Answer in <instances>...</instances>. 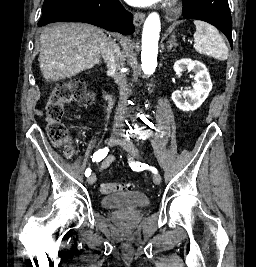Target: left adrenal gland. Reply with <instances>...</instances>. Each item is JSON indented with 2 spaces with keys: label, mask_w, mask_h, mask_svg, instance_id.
<instances>
[{
  "label": "left adrenal gland",
  "mask_w": 256,
  "mask_h": 267,
  "mask_svg": "<svg viewBox=\"0 0 256 267\" xmlns=\"http://www.w3.org/2000/svg\"><path fill=\"white\" fill-rule=\"evenodd\" d=\"M176 42H177V40H175V34H172V36L169 40V44L167 46L168 52H170V50H172V48H174V46H177Z\"/></svg>",
  "instance_id": "1"
}]
</instances>
